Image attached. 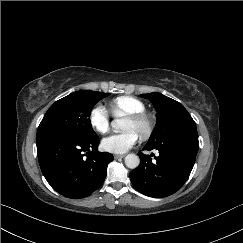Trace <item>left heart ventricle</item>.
I'll return each mask as SVG.
<instances>
[{"instance_id": "left-heart-ventricle-1", "label": "left heart ventricle", "mask_w": 243, "mask_h": 243, "mask_svg": "<svg viewBox=\"0 0 243 243\" xmlns=\"http://www.w3.org/2000/svg\"><path fill=\"white\" fill-rule=\"evenodd\" d=\"M123 130H132L134 131L138 136H140L143 133L144 130V125L143 124H137L134 123L128 119H125L124 125H123Z\"/></svg>"}]
</instances>
